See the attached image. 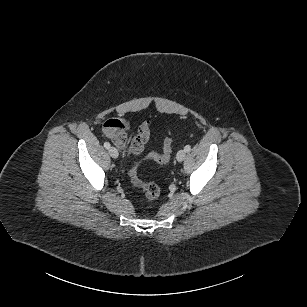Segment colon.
I'll return each mask as SVG.
<instances>
[{
  "label": "colon",
  "instance_id": "1",
  "mask_svg": "<svg viewBox=\"0 0 307 307\" xmlns=\"http://www.w3.org/2000/svg\"><path fill=\"white\" fill-rule=\"evenodd\" d=\"M172 142V137L167 136L164 140L163 151L161 153L151 152L146 156V158L160 164L167 163L170 160L172 153ZM138 166L139 161H135L129 170V178L131 184L134 187L141 189L147 199L152 200L157 198L160 194L159 187L154 183L142 181L138 177Z\"/></svg>",
  "mask_w": 307,
  "mask_h": 307
}]
</instances>
